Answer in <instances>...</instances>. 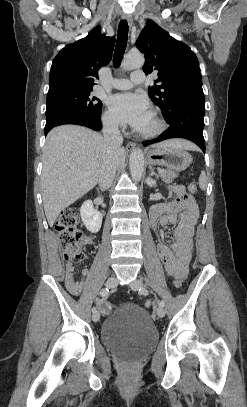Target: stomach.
<instances>
[{"label": "stomach", "instance_id": "obj_1", "mask_svg": "<svg viewBox=\"0 0 247 407\" xmlns=\"http://www.w3.org/2000/svg\"><path fill=\"white\" fill-rule=\"evenodd\" d=\"M150 165L166 167L173 171H183L192 163L191 155L184 149L171 146H156L146 153Z\"/></svg>", "mask_w": 247, "mask_h": 407}]
</instances>
